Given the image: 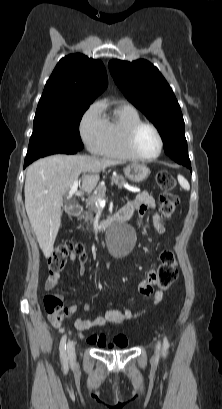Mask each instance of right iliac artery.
<instances>
[{
	"label": "right iliac artery",
	"mask_w": 222,
	"mask_h": 409,
	"mask_svg": "<svg viewBox=\"0 0 222 409\" xmlns=\"http://www.w3.org/2000/svg\"><path fill=\"white\" fill-rule=\"evenodd\" d=\"M66 335H64L61 339L59 350H60V358L63 364H67V354H66Z\"/></svg>",
	"instance_id": "obj_1"
}]
</instances>
